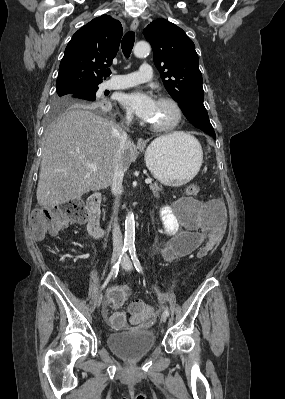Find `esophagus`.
Listing matches in <instances>:
<instances>
[{
  "mask_svg": "<svg viewBox=\"0 0 285 399\" xmlns=\"http://www.w3.org/2000/svg\"><path fill=\"white\" fill-rule=\"evenodd\" d=\"M138 24H139L138 20L134 19L133 22L131 23V30L133 31L137 30ZM136 145L137 148H145L146 144L142 138H139Z\"/></svg>",
  "mask_w": 285,
  "mask_h": 399,
  "instance_id": "34e87169",
  "label": "esophagus"
}]
</instances>
